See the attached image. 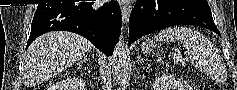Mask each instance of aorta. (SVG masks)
Instances as JSON below:
<instances>
[{
  "instance_id": "1",
  "label": "aorta",
  "mask_w": 237,
  "mask_h": 90,
  "mask_svg": "<svg viewBox=\"0 0 237 90\" xmlns=\"http://www.w3.org/2000/svg\"><path fill=\"white\" fill-rule=\"evenodd\" d=\"M125 48L124 38H119L111 60L113 80L120 88H124L128 78V58Z\"/></svg>"
}]
</instances>
